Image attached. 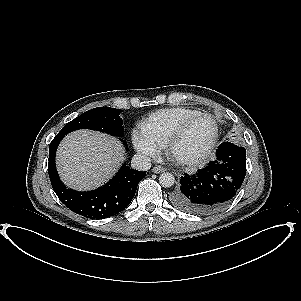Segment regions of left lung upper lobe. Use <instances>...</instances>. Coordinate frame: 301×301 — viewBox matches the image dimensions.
Masks as SVG:
<instances>
[{
	"label": "left lung upper lobe",
	"instance_id": "left-lung-upper-lobe-1",
	"mask_svg": "<svg viewBox=\"0 0 301 301\" xmlns=\"http://www.w3.org/2000/svg\"><path fill=\"white\" fill-rule=\"evenodd\" d=\"M175 192H176V191H175ZM175 192H174V193H175ZM174 193L172 194V196H171V197H173V196H174Z\"/></svg>",
	"mask_w": 301,
	"mask_h": 301
}]
</instances>
